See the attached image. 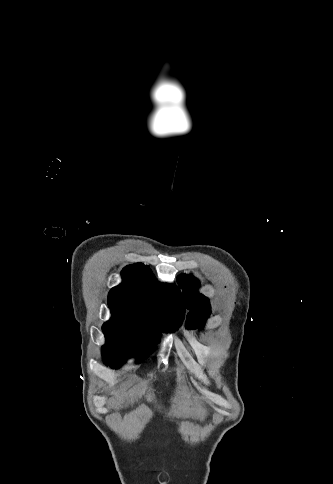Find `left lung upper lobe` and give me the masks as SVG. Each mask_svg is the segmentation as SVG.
<instances>
[{
	"label": "left lung upper lobe",
	"mask_w": 333,
	"mask_h": 484,
	"mask_svg": "<svg viewBox=\"0 0 333 484\" xmlns=\"http://www.w3.org/2000/svg\"><path fill=\"white\" fill-rule=\"evenodd\" d=\"M178 282L183 288L185 301L189 310L187 316V327L198 328L202 327L204 321L210 315L209 299L202 294H199L196 288L199 282L191 275H180Z\"/></svg>",
	"instance_id": "obj_1"
}]
</instances>
